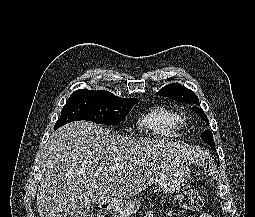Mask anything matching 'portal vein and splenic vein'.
Returning a JSON list of instances; mask_svg holds the SVG:
<instances>
[{
  "label": "portal vein and splenic vein",
  "mask_w": 255,
  "mask_h": 217,
  "mask_svg": "<svg viewBox=\"0 0 255 217\" xmlns=\"http://www.w3.org/2000/svg\"><path fill=\"white\" fill-rule=\"evenodd\" d=\"M123 168V166H121L120 164H116L115 166L112 167V170H116L119 171Z\"/></svg>",
  "instance_id": "portal-vein-and-splenic-vein-1"
}]
</instances>
